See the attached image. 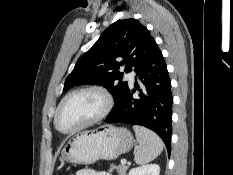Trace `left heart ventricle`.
<instances>
[{"instance_id":"b2bd125f","label":"left heart ventricle","mask_w":233,"mask_h":175,"mask_svg":"<svg viewBox=\"0 0 233 175\" xmlns=\"http://www.w3.org/2000/svg\"><path fill=\"white\" fill-rule=\"evenodd\" d=\"M103 104V99L97 93L75 94L63 104L58 116V125L62 130H71L97 115Z\"/></svg>"}]
</instances>
